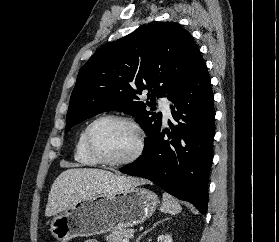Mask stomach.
I'll list each match as a JSON object with an SVG mask.
<instances>
[{
	"instance_id": "stomach-1",
	"label": "stomach",
	"mask_w": 279,
	"mask_h": 242,
	"mask_svg": "<svg viewBox=\"0 0 279 242\" xmlns=\"http://www.w3.org/2000/svg\"><path fill=\"white\" fill-rule=\"evenodd\" d=\"M157 195L141 187L96 194L73 203L54 216L50 232L59 242L100 235L143 223L155 211Z\"/></svg>"
}]
</instances>
